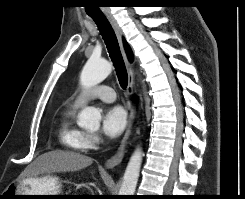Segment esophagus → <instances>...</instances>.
I'll return each mask as SVG.
<instances>
[{
    "mask_svg": "<svg viewBox=\"0 0 245 199\" xmlns=\"http://www.w3.org/2000/svg\"><path fill=\"white\" fill-rule=\"evenodd\" d=\"M107 19L109 20L110 24L112 25L117 38L119 40L120 43V47H121V51L123 54V57L125 59L126 65H127V69H128V86H127V92L129 95L133 94V86H134V71H133V64H131L126 56L125 50L123 48V43H122V30L120 28V26L118 25V22L116 21V19L114 18V16L112 14H106ZM135 118V107L132 106L131 111L129 113V118H128V125H127V129L126 132L124 134V137L121 141L120 147L118 148L117 153L112 156L109 160H107V162L105 163V167L107 169H112L115 166L119 165L123 159V155H124V150H125V146L127 143V140L131 134L132 131V126H133V121Z\"/></svg>",
    "mask_w": 245,
    "mask_h": 199,
    "instance_id": "1",
    "label": "esophagus"
}]
</instances>
